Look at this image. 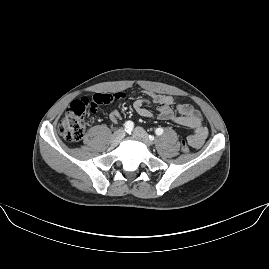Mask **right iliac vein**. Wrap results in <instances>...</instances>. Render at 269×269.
Wrapping results in <instances>:
<instances>
[{"label":"right iliac vein","mask_w":269,"mask_h":269,"mask_svg":"<svg viewBox=\"0 0 269 269\" xmlns=\"http://www.w3.org/2000/svg\"><path fill=\"white\" fill-rule=\"evenodd\" d=\"M124 136H125V132L123 129L117 130L111 137V140H110L111 145L117 146L121 142V140Z\"/></svg>","instance_id":"right-iliac-vein-1"}]
</instances>
